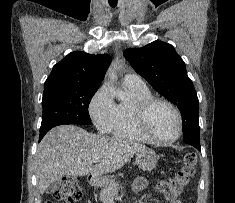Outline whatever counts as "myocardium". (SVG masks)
<instances>
[{"label":"myocardium","instance_id":"f54148a6","mask_svg":"<svg viewBox=\"0 0 235 203\" xmlns=\"http://www.w3.org/2000/svg\"><path fill=\"white\" fill-rule=\"evenodd\" d=\"M157 103L168 105L175 113L178 130L175 136L167 139H162L154 136L147 127V114L149 110ZM133 118L135 125L139 132L149 141L158 144H169L177 141L183 133V117L179 108L170 100L160 97H149L146 99L138 100L133 104Z\"/></svg>","mask_w":235,"mask_h":203}]
</instances>
